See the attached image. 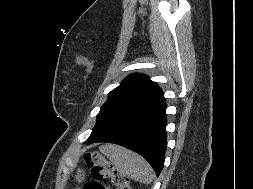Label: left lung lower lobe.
Instances as JSON below:
<instances>
[{
  "label": "left lung lower lobe",
  "instance_id": "obj_1",
  "mask_svg": "<svg viewBox=\"0 0 253 189\" xmlns=\"http://www.w3.org/2000/svg\"><path fill=\"white\" fill-rule=\"evenodd\" d=\"M165 98L154 107L134 116L115 129L90 136L89 144L111 142L127 147L143 156L159 176L164 166L166 141Z\"/></svg>",
  "mask_w": 253,
  "mask_h": 189
}]
</instances>
